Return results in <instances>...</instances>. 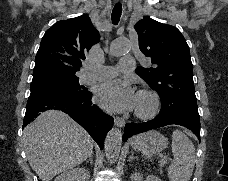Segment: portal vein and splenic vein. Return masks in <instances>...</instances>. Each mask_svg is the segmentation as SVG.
Masks as SVG:
<instances>
[{"label":"portal vein and splenic vein","instance_id":"obj_1","mask_svg":"<svg viewBox=\"0 0 228 181\" xmlns=\"http://www.w3.org/2000/svg\"><path fill=\"white\" fill-rule=\"evenodd\" d=\"M162 159H163L162 163H165V159H167V157H162ZM163 167L165 168L166 166L164 165ZM152 169L157 171L159 168L156 166V167H153Z\"/></svg>","mask_w":228,"mask_h":181}]
</instances>
